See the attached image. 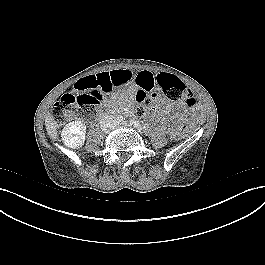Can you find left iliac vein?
<instances>
[{"label":"left iliac vein","mask_w":265,"mask_h":265,"mask_svg":"<svg viewBox=\"0 0 265 265\" xmlns=\"http://www.w3.org/2000/svg\"><path fill=\"white\" fill-rule=\"evenodd\" d=\"M121 125H123V126H129V123H128L127 121H123V122L121 123Z\"/></svg>","instance_id":"1"}]
</instances>
